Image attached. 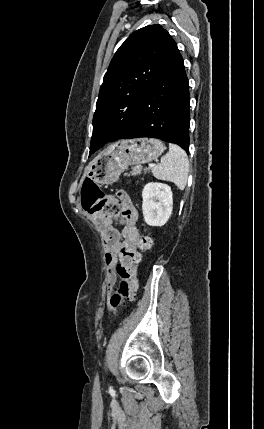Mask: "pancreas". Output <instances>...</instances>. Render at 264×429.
I'll return each instance as SVG.
<instances>
[{
	"mask_svg": "<svg viewBox=\"0 0 264 429\" xmlns=\"http://www.w3.org/2000/svg\"><path fill=\"white\" fill-rule=\"evenodd\" d=\"M147 171L148 170L146 169L145 172H147ZM141 172H142V169L140 166H134L131 168L130 175L137 176V175H140Z\"/></svg>",
	"mask_w": 264,
	"mask_h": 429,
	"instance_id": "1",
	"label": "pancreas"
}]
</instances>
